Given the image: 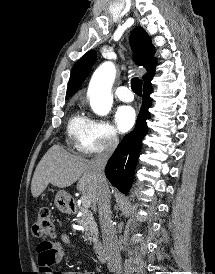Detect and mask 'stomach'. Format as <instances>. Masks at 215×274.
<instances>
[{
	"instance_id": "obj_1",
	"label": "stomach",
	"mask_w": 215,
	"mask_h": 274,
	"mask_svg": "<svg viewBox=\"0 0 215 274\" xmlns=\"http://www.w3.org/2000/svg\"><path fill=\"white\" fill-rule=\"evenodd\" d=\"M70 195L64 191L59 190L55 196V205L60 211L67 212L69 210Z\"/></svg>"
}]
</instances>
